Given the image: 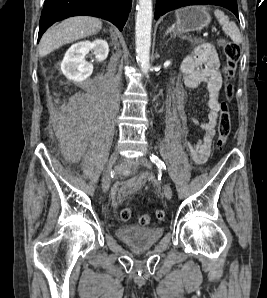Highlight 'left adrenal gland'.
<instances>
[{
  "label": "left adrenal gland",
  "instance_id": "left-adrenal-gland-1",
  "mask_svg": "<svg viewBox=\"0 0 267 298\" xmlns=\"http://www.w3.org/2000/svg\"><path fill=\"white\" fill-rule=\"evenodd\" d=\"M172 32V29H169L166 33H165V35H168L169 33H171ZM172 37H176V34L174 33V35H171ZM192 43H194V42H196L197 40L196 39H189Z\"/></svg>",
  "mask_w": 267,
  "mask_h": 298
}]
</instances>
